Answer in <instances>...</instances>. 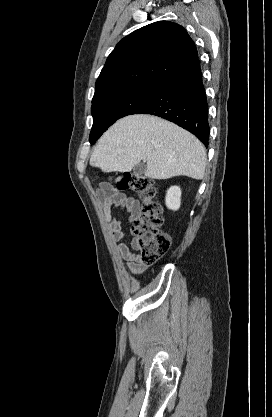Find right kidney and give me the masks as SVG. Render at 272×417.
Segmentation results:
<instances>
[{
  "label": "right kidney",
  "mask_w": 272,
  "mask_h": 417,
  "mask_svg": "<svg viewBox=\"0 0 272 417\" xmlns=\"http://www.w3.org/2000/svg\"><path fill=\"white\" fill-rule=\"evenodd\" d=\"M165 202L168 209L176 211L180 208L181 189L179 186H172L167 190Z\"/></svg>",
  "instance_id": "right-kidney-1"
}]
</instances>
